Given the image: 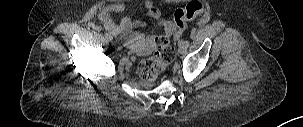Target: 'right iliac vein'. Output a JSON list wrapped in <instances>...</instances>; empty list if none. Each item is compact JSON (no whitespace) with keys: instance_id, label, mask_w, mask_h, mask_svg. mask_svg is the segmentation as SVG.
Segmentation results:
<instances>
[{"instance_id":"1","label":"right iliac vein","mask_w":303,"mask_h":127,"mask_svg":"<svg viewBox=\"0 0 303 127\" xmlns=\"http://www.w3.org/2000/svg\"><path fill=\"white\" fill-rule=\"evenodd\" d=\"M109 41H110L111 45H112L114 48H116V50H121V47L118 46L113 40H109Z\"/></svg>"}]
</instances>
